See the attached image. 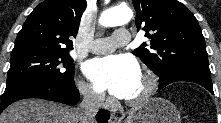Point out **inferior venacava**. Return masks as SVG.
Instances as JSON below:
<instances>
[{
  "mask_svg": "<svg viewBox=\"0 0 221 123\" xmlns=\"http://www.w3.org/2000/svg\"><path fill=\"white\" fill-rule=\"evenodd\" d=\"M83 100L77 108L79 123H94L95 116L104 102V95L94 92L91 88L81 90Z\"/></svg>",
  "mask_w": 221,
  "mask_h": 123,
  "instance_id": "obj_1",
  "label": "inferior vena cava"
}]
</instances>
